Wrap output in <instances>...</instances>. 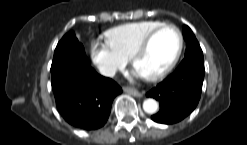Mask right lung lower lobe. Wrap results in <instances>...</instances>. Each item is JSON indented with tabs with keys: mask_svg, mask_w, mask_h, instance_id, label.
<instances>
[{
	"mask_svg": "<svg viewBox=\"0 0 247 145\" xmlns=\"http://www.w3.org/2000/svg\"><path fill=\"white\" fill-rule=\"evenodd\" d=\"M51 75L59 112L69 124L81 129L102 127L113 99L122 92L112 79L95 72L84 53L52 62Z\"/></svg>",
	"mask_w": 247,
	"mask_h": 145,
	"instance_id": "1",
	"label": "right lung lower lobe"
}]
</instances>
